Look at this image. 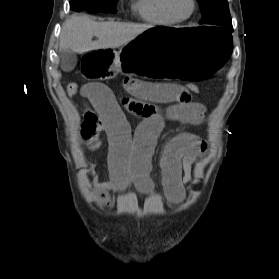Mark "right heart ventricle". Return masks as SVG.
<instances>
[{"label": "right heart ventricle", "mask_w": 279, "mask_h": 279, "mask_svg": "<svg viewBox=\"0 0 279 279\" xmlns=\"http://www.w3.org/2000/svg\"><path fill=\"white\" fill-rule=\"evenodd\" d=\"M133 8L145 22L155 25H172L173 20L164 10L163 0H135Z\"/></svg>", "instance_id": "right-heart-ventricle-1"}]
</instances>
